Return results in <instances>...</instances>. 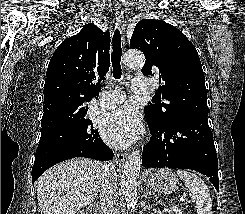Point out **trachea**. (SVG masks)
Wrapping results in <instances>:
<instances>
[{
    "instance_id": "1",
    "label": "trachea",
    "mask_w": 245,
    "mask_h": 214,
    "mask_svg": "<svg viewBox=\"0 0 245 214\" xmlns=\"http://www.w3.org/2000/svg\"><path fill=\"white\" fill-rule=\"evenodd\" d=\"M121 35L118 29L115 30L113 35V51L111 54L112 66H113V76L115 79H120L122 75L121 69Z\"/></svg>"
}]
</instances>
